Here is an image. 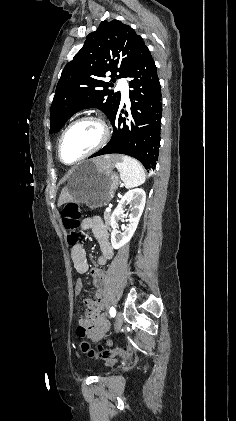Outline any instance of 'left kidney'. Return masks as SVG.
I'll return each instance as SVG.
<instances>
[{"label":"left kidney","instance_id":"1","mask_svg":"<svg viewBox=\"0 0 236 421\" xmlns=\"http://www.w3.org/2000/svg\"><path fill=\"white\" fill-rule=\"evenodd\" d=\"M146 200L145 190L143 188H132V190H128L124 196H122L120 202H118L114 213H112L110 219L111 227L113 229L111 233V243L113 249H120V247H124L126 243H129L130 239H132L140 221V217L144 211ZM126 204H130V215L129 225L125 227L123 233L118 231V223L122 221L121 215L125 213L124 208Z\"/></svg>","mask_w":236,"mask_h":421}]
</instances>
